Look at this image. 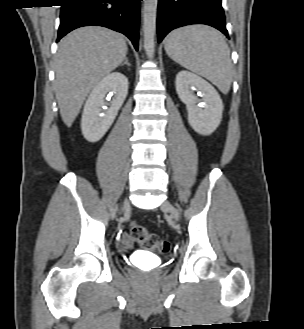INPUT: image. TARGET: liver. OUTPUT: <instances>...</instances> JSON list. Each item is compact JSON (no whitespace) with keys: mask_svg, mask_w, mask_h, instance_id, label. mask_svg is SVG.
I'll return each instance as SVG.
<instances>
[{"mask_svg":"<svg viewBox=\"0 0 304 329\" xmlns=\"http://www.w3.org/2000/svg\"><path fill=\"white\" fill-rule=\"evenodd\" d=\"M123 35L88 26L76 29L59 43L55 56V94L63 122L70 127L95 86L126 58Z\"/></svg>","mask_w":304,"mask_h":329,"instance_id":"1","label":"liver"}]
</instances>
